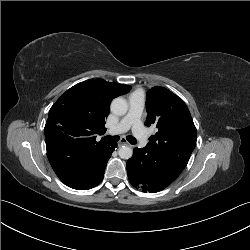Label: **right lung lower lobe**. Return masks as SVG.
<instances>
[{
  "instance_id": "right-lung-lower-lobe-1",
  "label": "right lung lower lobe",
  "mask_w": 250,
  "mask_h": 250,
  "mask_svg": "<svg viewBox=\"0 0 250 250\" xmlns=\"http://www.w3.org/2000/svg\"><path fill=\"white\" fill-rule=\"evenodd\" d=\"M116 147H117L116 143H110V145L107 146V148L104 150L102 157L98 163L95 178L88 186H86L85 188L80 189V190L91 189V188L95 187L96 185H98L103 180V175L105 172L106 164H107L108 160L110 159V156H111L113 150Z\"/></svg>"
}]
</instances>
